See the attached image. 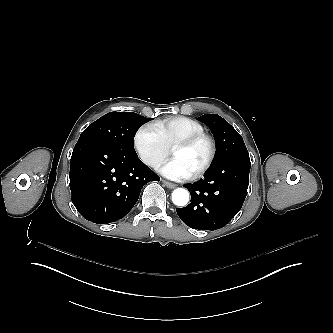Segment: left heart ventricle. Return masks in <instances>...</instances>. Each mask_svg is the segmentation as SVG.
Returning a JSON list of instances; mask_svg holds the SVG:
<instances>
[{"instance_id":"b2bd125f","label":"left heart ventricle","mask_w":333,"mask_h":333,"mask_svg":"<svg viewBox=\"0 0 333 333\" xmlns=\"http://www.w3.org/2000/svg\"><path fill=\"white\" fill-rule=\"evenodd\" d=\"M171 158L181 162L192 174L201 166L208 155L206 143H200L194 147H178L170 152Z\"/></svg>"}]
</instances>
